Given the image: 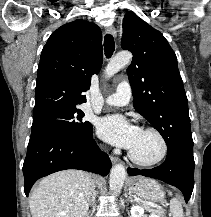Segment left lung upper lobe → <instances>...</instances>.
I'll return each instance as SVG.
<instances>
[{
	"label": "left lung upper lobe",
	"mask_w": 211,
	"mask_h": 217,
	"mask_svg": "<svg viewBox=\"0 0 211 217\" xmlns=\"http://www.w3.org/2000/svg\"><path fill=\"white\" fill-rule=\"evenodd\" d=\"M121 47L133 54L127 74L135 110L158 130L168 148L193 149L188 100L168 41L136 14L127 12Z\"/></svg>",
	"instance_id": "5c2ea615"
}]
</instances>
